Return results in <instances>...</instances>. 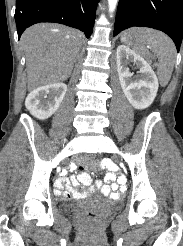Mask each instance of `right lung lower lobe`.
Returning <instances> with one entry per match:
<instances>
[{
    "label": "right lung lower lobe",
    "instance_id": "1",
    "mask_svg": "<svg viewBox=\"0 0 183 246\" xmlns=\"http://www.w3.org/2000/svg\"><path fill=\"white\" fill-rule=\"evenodd\" d=\"M98 2L99 0H16L18 39L26 28L39 22L65 24L83 31L89 38Z\"/></svg>",
    "mask_w": 183,
    "mask_h": 246
}]
</instances>
